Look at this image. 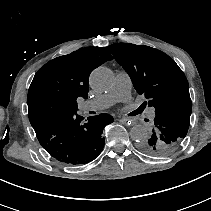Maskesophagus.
Masks as SVG:
<instances>
[{"mask_svg": "<svg viewBox=\"0 0 211 211\" xmlns=\"http://www.w3.org/2000/svg\"><path fill=\"white\" fill-rule=\"evenodd\" d=\"M118 121L119 122H121V123H126L127 125H128V127H133V121H132V119L131 118H127V117H124V118H120V119H118Z\"/></svg>", "mask_w": 211, "mask_h": 211, "instance_id": "obj_1", "label": "esophagus"}]
</instances>
